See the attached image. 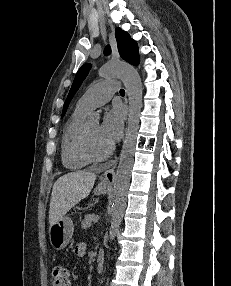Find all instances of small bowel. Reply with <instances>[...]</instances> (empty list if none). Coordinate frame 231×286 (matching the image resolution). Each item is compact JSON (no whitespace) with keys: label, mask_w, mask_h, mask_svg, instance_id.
Wrapping results in <instances>:
<instances>
[{"label":"small bowel","mask_w":231,"mask_h":286,"mask_svg":"<svg viewBox=\"0 0 231 286\" xmlns=\"http://www.w3.org/2000/svg\"><path fill=\"white\" fill-rule=\"evenodd\" d=\"M74 254L82 257L86 253V244L83 242L77 243L73 248Z\"/></svg>","instance_id":"c3829d8e"}]
</instances>
